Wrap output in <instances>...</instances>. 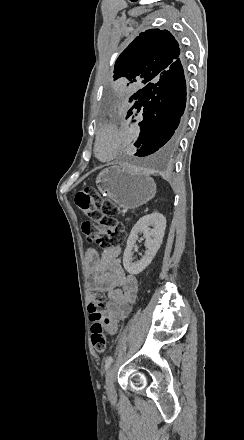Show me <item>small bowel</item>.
<instances>
[{"instance_id":"obj_1","label":"small bowel","mask_w":244,"mask_h":440,"mask_svg":"<svg viewBox=\"0 0 244 440\" xmlns=\"http://www.w3.org/2000/svg\"><path fill=\"white\" fill-rule=\"evenodd\" d=\"M121 252V246L114 245L101 253L89 249L85 255L90 291L107 293L105 328L110 336L117 335L119 324L131 313L139 291L137 278L126 273L120 262Z\"/></svg>"}]
</instances>
